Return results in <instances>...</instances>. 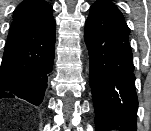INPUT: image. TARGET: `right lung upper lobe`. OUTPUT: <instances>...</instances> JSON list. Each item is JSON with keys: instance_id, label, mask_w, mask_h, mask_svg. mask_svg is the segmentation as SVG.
Segmentation results:
<instances>
[{"instance_id": "right-lung-upper-lobe-1", "label": "right lung upper lobe", "mask_w": 151, "mask_h": 131, "mask_svg": "<svg viewBox=\"0 0 151 131\" xmlns=\"http://www.w3.org/2000/svg\"><path fill=\"white\" fill-rule=\"evenodd\" d=\"M52 6L45 0H24L15 9L0 69V84L10 85L35 72L55 44Z\"/></svg>"}]
</instances>
